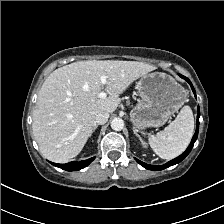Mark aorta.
I'll return each mask as SVG.
<instances>
[{"instance_id":"1","label":"aorta","mask_w":224,"mask_h":224,"mask_svg":"<svg viewBox=\"0 0 224 224\" xmlns=\"http://www.w3.org/2000/svg\"><path fill=\"white\" fill-rule=\"evenodd\" d=\"M124 127V121L121 118H114L111 121V128L115 131H121Z\"/></svg>"}]
</instances>
